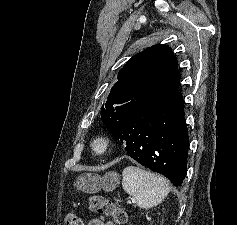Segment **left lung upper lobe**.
<instances>
[{
	"instance_id": "5c2ea615",
	"label": "left lung upper lobe",
	"mask_w": 237,
	"mask_h": 225,
	"mask_svg": "<svg viewBox=\"0 0 237 225\" xmlns=\"http://www.w3.org/2000/svg\"><path fill=\"white\" fill-rule=\"evenodd\" d=\"M177 64L164 44L151 46L126 62L101 108V119L113 136L142 108L179 93Z\"/></svg>"
}]
</instances>
